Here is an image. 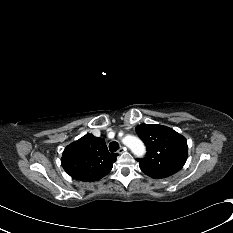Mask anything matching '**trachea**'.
Returning a JSON list of instances; mask_svg holds the SVG:
<instances>
[{
	"label": "trachea",
	"mask_w": 233,
	"mask_h": 233,
	"mask_svg": "<svg viewBox=\"0 0 233 233\" xmlns=\"http://www.w3.org/2000/svg\"><path fill=\"white\" fill-rule=\"evenodd\" d=\"M118 143L116 141H113L109 144V150L110 152H116L118 150Z\"/></svg>",
	"instance_id": "obj_1"
}]
</instances>
